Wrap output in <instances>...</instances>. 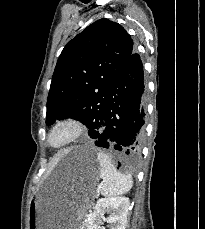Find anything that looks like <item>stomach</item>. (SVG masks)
Segmentation results:
<instances>
[{
    "label": "stomach",
    "mask_w": 205,
    "mask_h": 229,
    "mask_svg": "<svg viewBox=\"0 0 205 229\" xmlns=\"http://www.w3.org/2000/svg\"><path fill=\"white\" fill-rule=\"evenodd\" d=\"M78 155L82 174V195L69 204L66 195L38 196L28 210V229H83L82 220L93 197L94 186L99 178V161L93 149L77 146L65 157Z\"/></svg>",
    "instance_id": "0dacf381"
}]
</instances>
